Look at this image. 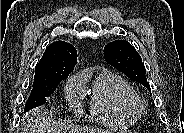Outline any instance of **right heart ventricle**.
I'll use <instances>...</instances> for the list:
<instances>
[{"instance_id": "obj_1", "label": "right heart ventricle", "mask_w": 184, "mask_h": 133, "mask_svg": "<svg viewBox=\"0 0 184 133\" xmlns=\"http://www.w3.org/2000/svg\"><path fill=\"white\" fill-rule=\"evenodd\" d=\"M79 76L83 82L88 78V74ZM134 94L131 85L123 78L110 71H101L92 83L89 110L101 122L127 126L137 118L125 107V99Z\"/></svg>"}]
</instances>
